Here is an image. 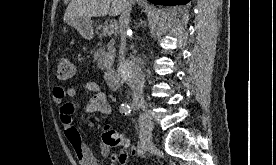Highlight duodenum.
<instances>
[{"label":"duodenum","instance_id":"obj_1","mask_svg":"<svg viewBox=\"0 0 276 165\" xmlns=\"http://www.w3.org/2000/svg\"><path fill=\"white\" fill-rule=\"evenodd\" d=\"M105 80L110 89H118L121 85V73L119 69L115 66L109 67L105 71Z\"/></svg>","mask_w":276,"mask_h":165}]
</instances>
